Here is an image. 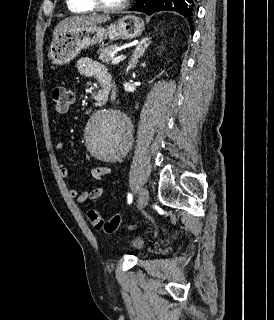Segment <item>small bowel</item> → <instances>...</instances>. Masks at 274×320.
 Instances as JSON below:
<instances>
[{
	"label": "small bowel",
	"instance_id": "1",
	"mask_svg": "<svg viewBox=\"0 0 274 320\" xmlns=\"http://www.w3.org/2000/svg\"><path fill=\"white\" fill-rule=\"evenodd\" d=\"M78 72L86 77H96L101 85V92L108 93L112 86L111 74L106 70V68L99 62L89 58L81 57L77 63ZM65 147V141L60 140L56 144V150L58 152L62 151ZM58 172L62 178L68 179L69 172L65 165H58ZM111 170L107 166H98L91 170V176L97 181H103L109 174ZM104 193V187L99 186L92 190H84L80 192L76 187H71L68 190V194L71 198L76 199L79 203H84L86 201H93L100 198Z\"/></svg>",
	"mask_w": 274,
	"mask_h": 320
}]
</instances>
